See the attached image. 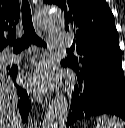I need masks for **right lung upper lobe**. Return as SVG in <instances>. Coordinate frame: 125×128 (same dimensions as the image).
Here are the masks:
<instances>
[{
    "label": "right lung upper lobe",
    "instance_id": "cb5924a9",
    "mask_svg": "<svg viewBox=\"0 0 125 128\" xmlns=\"http://www.w3.org/2000/svg\"><path fill=\"white\" fill-rule=\"evenodd\" d=\"M19 17V0H0V52L15 39Z\"/></svg>",
    "mask_w": 125,
    "mask_h": 128
}]
</instances>
